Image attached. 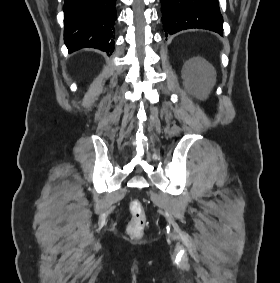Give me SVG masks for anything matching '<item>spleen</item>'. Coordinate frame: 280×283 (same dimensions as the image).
<instances>
[{
	"label": "spleen",
	"instance_id": "1",
	"mask_svg": "<svg viewBox=\"0 0 280 283\" xmlns=\"http://www.w3.org/2000/svg\"><path fill=\"white\" fill-rule=\"evenodd\" d=\"M209 72L208 74L205 76V82L207 84V88H210L213 86L214 82H215V71L214 69L209 66Z\"/></svg>",
	"mask_w": 280,
	"mask_h": 283
}]
</instances>
